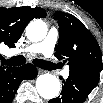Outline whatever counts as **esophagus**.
Instances as JSON below:
<instances>
[{
    "instance_id": "esophagus-1",
    "label": "esophagus",
    "mask_w": 103,
    "mask_h": 103,
    "mask_svg": "<svg viewBox=\"0 0 103 103\" xmlns=\"http://www.w3.org/2000/svg\"><path fill=\"white\" fill-rule=\"evenodd\" d=\"M43 72H44V70L38 68V73H39V74H42Z\"/></svg>"
}]
</instances>
